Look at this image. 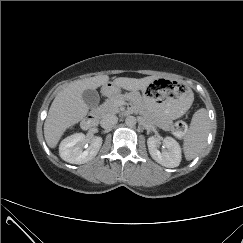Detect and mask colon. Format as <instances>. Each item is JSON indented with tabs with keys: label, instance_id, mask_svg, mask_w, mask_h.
Listing matches in <instances>:
<instances>
[{
	"label": "colon",
	"instance_id": "1",
	"mask_svg": "<svg viewBox=\"0 0 243 243\" xmlns=\"http://www.w3.org/2000/svg\"><path fill=\"white\" fill-rule=\"evenodd\" d=\"M172 131L176 136L182 137L187 131V125L184 121H176L172 126Z\"/></svg>",
	"mask_w": 243,
	"mask_h": 243
}]
</instances>
